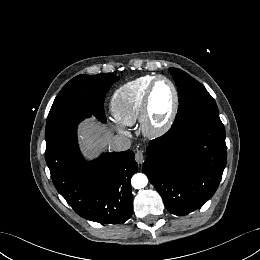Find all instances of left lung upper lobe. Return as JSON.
I'll return each instance as SVG.
<instances>
[{"label":"left lung upper lobe","instance_id":"5c2ea615","mask_svg":"<svg viewBox=\"0 0 260 260\" xmlns=\"http://www.w3.org/2000/svg\"><path fill=\"white\" fill-rule=\"evenodd\" d=\"M178 87L179 107L173 125H177L194 114L218 112L217 105L205 87L186 72L169 69Z\"/></svg>","mask_w":260,"mask_h":260}]
</instances>
